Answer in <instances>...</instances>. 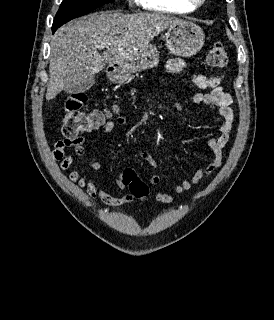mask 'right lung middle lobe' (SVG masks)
Segmentation results:
<instances>
[{
  "label": "right lung middle lobe",
  "instance_id": "right-lung-middle-lobe-1",
  "mask_svg": "<svg viewBox=\"0 0 274 320\" xmlns=\"http://www.w3.org/2000/svg\"><path fill=\"white\" fill-rule=\"evenodd\" d=\"M113 1L114 0H63L54 18L52 28H59L64 23Z\"/></svg>",
  "mask_w": 274,
  "mask_h": 320
}]
</instances>
